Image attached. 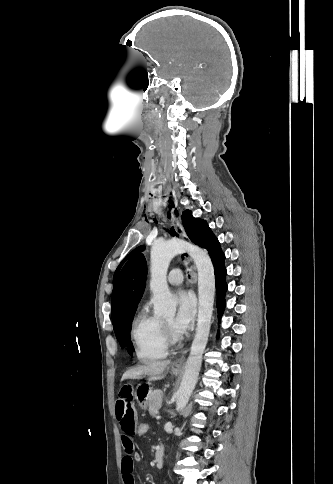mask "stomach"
I'll return each mask as SVG.
<instances>
[{
	"label": "stomach",
	"instance_id": "1",
	"mask_svg": "<svg viewBox=\"0 0 333 484\" xmlns=\"http://www.w3.org/2000/svg\"><path fill=\"white\" fill-rule=\"evenodd\" d=\"M179 367L172 366L171 371L174 375H178L180 372ZM152 393V389L149 385V383H140L135 391V398L137 399L140 407L142 409H146L147 406L149 405V398Z\"/></svg>",
	"mask_w": 333,
	"mask_h": 484
}]
</instances>
